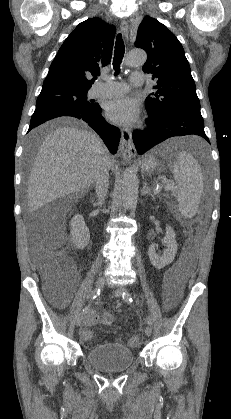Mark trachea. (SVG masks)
Listing matches in <instances>:
<instances>
[{
  "label": "trachea",
  "instance_id": "1",
  "mask_svg": "<svg viewBox=\"0 0 231 419\" xmlns=\"http://www.w3.org/2000/svg\"><path fill=\"white\" fill-rule=\"evenodd\" d=\"M124 50H125V47H124L122 35L118 34L116 37L115 53H114V59H113V68L115 70V75H117L120 71V64L124 57Z\"/></svg>",
  "mask_w": 231,
  "mask_h": 419
}]
</instances>
